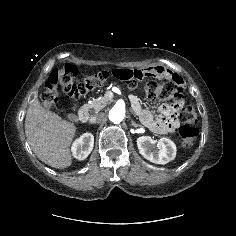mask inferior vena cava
<instances>
[{
	"label": "inferior vena cava",
	"instance_id": "1",
	"mask_svg": "<svg viewBox=\"0 0 236 236\" xmlns=\"http://www.w3.org/2000/svg\"><path fill=\"white\" fill-rule=\"evenodd\" d=\"M103 118V114L99 113L97 115H94L92 117H90L89 122L90 123H97L100 122Z\"/></svg>",
	"mask_w": 236,
	"mask_h": 236
}]
</instances>
